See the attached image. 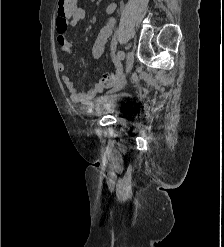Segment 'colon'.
Here are the masks:
<instances>
[{
	"instance_id": "obj_1",
	"label": "colon",
	"mask_w": 224,
	"mask_h": 247,
	"mask_svg": "<svg viewBox=\"0 0 224 247\" xmlns=\"http://www.w3.org/2000/svg\"><path fill=\"white\" fill-rule=\"evenodd\" d=\"M77 9V0H59L57 10V30L66 31L68 23ZM116 75H105L100 84L103 87H111L117 82Z\"/></svg>"
}]
</instances>
